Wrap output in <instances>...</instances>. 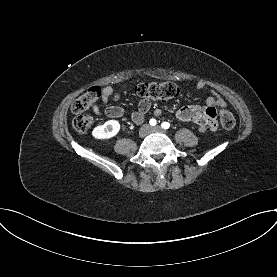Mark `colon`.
Segmentation results:
<instances>
[{
  "mask_svg": "<svg viewBox=\"0 0 277 277\" xmlns=\"http://www.w3.org/2000/svg\"><path fill=\"white\" fill-rule=\"evenodd\" d=\"M135 93L146 99L166 101L177 97L180 93V87L170 81H152L138 84L135 87ZM100 96L101 89L92 87L74 101L72 111L76 116L72 121V125L76 131L86 132L90 129L93 119L86 112L95 105ZM219 118L225 129H232L235 126L234 115L226 107L220 108Z\"/></svg>",
  "mask_w": 277,
  "mask_h": 277,
  "instance_id": "1",
  "label": "colon"
}]
</instances>
